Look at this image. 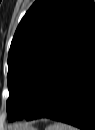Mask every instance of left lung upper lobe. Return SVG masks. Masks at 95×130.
I'll return each instance as SVG.
<instances>
[{"mask_svg":"<svg viewBox=\"0 0 95 130\" xmlns=\"http://www.w3.org/2000/svg\"><path fill=\"white\" fill-rule=\"evenodd\" d=\"M92 15L91 0H36L30 7L8 54L6 109L10 121L22 119L34 106L51 69Z\"/></svg>","mask_w":95,"mask_h":130,"instance_id":"left-lung-upper-lobe-1","label":"left lung upper lobe"}]
</instances>
